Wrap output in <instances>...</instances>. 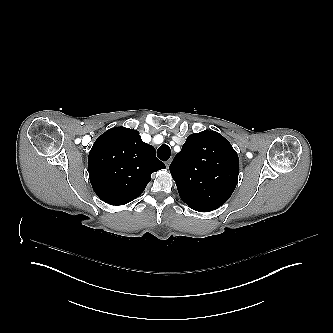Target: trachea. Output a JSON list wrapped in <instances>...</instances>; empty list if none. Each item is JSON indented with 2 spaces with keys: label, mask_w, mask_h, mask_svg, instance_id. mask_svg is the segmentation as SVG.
Returning <instances> with one entry per match:
<instances>
[{
  "label": "trachea",
  "mask_w": 333,
  "mask_h": 333,
  "mask_svg": "<svg viewBox=\"0 0 333 333\" xmlns=\"http://www.w3.org/2000/svg\"><path fill=\"white\" fill-rule=\"evenodd\" d=\"M171 155V150L168 145L164 144L157 150V156L160 160L166 161Z\"/></svg>",
  "instance_id": "1"
}]
</instances>
